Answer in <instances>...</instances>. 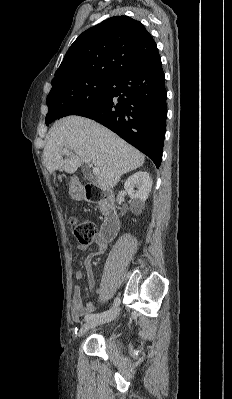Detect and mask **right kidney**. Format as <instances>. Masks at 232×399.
I'll list each match as a JSON object with an SVG mask.
<instances>
[{"instance_id":"ca27d5eb","label":"right kidney","mask_w":232,"mask_h":399,"mask_svg":"<svg viewBox=\"0 0 232 399\" xmlns=\"http://www.w3.org/2000/svg\"><path fill=\"white\" fill-rule=\"evenodd\" d=\"M152 188V180L148 172H136L130 176L124 184V190L127 192L133 207L137 209H144L145 201L147 200Z\"/></svg>"}]
</instances>
